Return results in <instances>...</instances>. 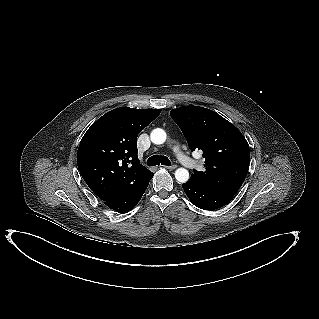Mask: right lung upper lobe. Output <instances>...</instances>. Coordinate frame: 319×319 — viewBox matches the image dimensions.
<instances>
[{
	"label": "right lung upper lobe",
	"instance_id": "1",
	"mask_svg": "<svg viewBox=\"0 0 319 319\" xmlns=\"http://www.w3.org/2000/svg\"><path fill=\"white\" fill-rule=\"evenodd\" d=\"M160 112L121 107L87 130L78 148L77 164L84 181L101 200L114 197L149 171L137 157V136Z\"/></svg>",
	"mask_w": 319,
	"mask_h": 319
}]
</instances>
